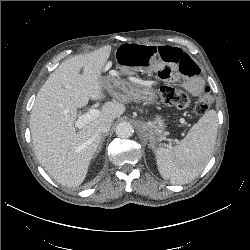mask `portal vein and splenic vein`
Here are the masks:
<instances>
[{
    "instance_id": "18ae733b",
    "label": "portal vein and splenic vein",
    "mask_w": 250,
    "mask_h": 250,
    "mask_svg": "<svg viewBox=\"0 0 250 250\" xmlns=\"http://www.w3.org/2000/svg\"><path fill=\"white\" fill-rule=\"evenodd\" d=\"M98 115L99 110L90 109L88 112L78 117V119L75 121V127L81 129L84 125L96 118Z\"/></svg>"
}]
</instances>
